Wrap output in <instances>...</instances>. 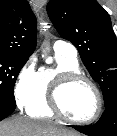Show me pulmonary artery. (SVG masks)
I'll return each instance as SVG.
<instances>
[{"instance_id":"1","label":"pulmonary artery","mask_w":117,"mask_h":136,"mask_svg":"<svg viewBox=\"0 0 117 136\" xmlns=\"http://www.w3.org/2000/svg\"><path fill=\"white\" fill-rule=\"evenodd\" d=\"M55 53L61 54L71 59H77V49L76 47L65 40H58L53 45Z\"/></svg>"}]
</instances>
